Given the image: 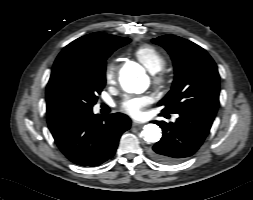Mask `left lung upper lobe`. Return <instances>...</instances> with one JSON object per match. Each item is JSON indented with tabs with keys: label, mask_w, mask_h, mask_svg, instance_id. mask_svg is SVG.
Returning a JSON list of instances; mask_svg holds the SVG:
<instances>
[{
	"label": "left lung upper lobe",
	"mask_w": 253,
	"mask_h": 200,
	"mask_svg": "<svg viewBox=\"0 0 253 200\" xmlns=\"http://www.w3.org/2000/svg\"><path fill=\"white\" fill-rule=\"evenodd\" d=\"M172 57L175 78L171 91L159 102L166 113L208 112L219 105V73L210 55L197 44L174 35L152 40Z\"/></svg>",
	"instance_id": "5c2ea615"
}]
</instances>
